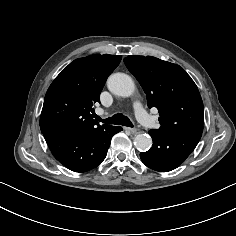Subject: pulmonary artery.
I'll use <instances>...</instances> for the list:
<instances>
[{
    "mask_svg": "<svg viewBox=\"0 0 236 236\" xmlns=\"http://www.w3.org/2000/svg\"><path fill=\"white\" fill-rule=\"evenodd\" d=\"M96 113L98 115H101L103 114V111L101 109H98L96 111ZM135 115H136V118L137 120L142 123V124H145L147 123V121L149 120V115L147 114V112L144 110V108L142 107L141 104L137 103L135 105Z\"/></svg>",
    "mask_w": 236,
    "mask_h": 236,
    "instance_id": "1",
    "label": "pulmonary artery"
}]
</instances>
